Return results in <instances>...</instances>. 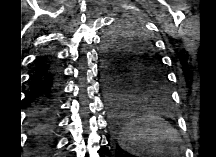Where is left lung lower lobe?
Instances as JSON below:
<instances>
[{"mask_svg":"<svg viewBox=\"0 0 216 157\" xmlns=\"http://www.w3.org/2000/svg\"><path fill=\"white\" fill-rule=\"evenodd\" d=\"M103 56L106 60L104 51ZM105 76L106 99L113 119V125L116 130H121L122 132L129 123L127 122V117L130 111L126 107L131 104L135 95H133L119 77L111 75L107 67Z\"/></svg>","mask_w":216,"mask_h":157,"instance_id":"1","label":"left lung lower lobe"}]
</instances>
